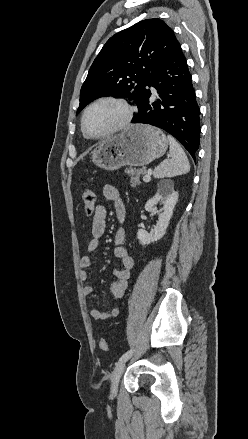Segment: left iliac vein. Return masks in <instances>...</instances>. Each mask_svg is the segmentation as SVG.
Here are the masks:
<instances>
[{
  "mask_svg": "<svg viewBox=\"0 0 248 439\" xmlns=\"http://www.w3.org/2000/svg\"><path fill=\"white\" fill-rule=\"evenodd\" d=\"M126 361H120L116 365L111 377V394L116 395L118 391L119 380L125 370Z\"/></svg>",
  "mask_w": 248,
  "mask_h": 439,
  "instance_id": "obj_1",
  "label": "left iliac vein"
}]
</instances>
